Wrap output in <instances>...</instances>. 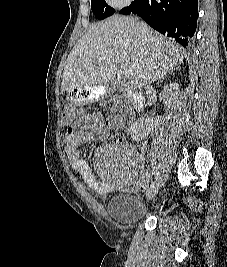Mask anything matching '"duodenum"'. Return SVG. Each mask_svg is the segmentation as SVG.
<instances>
[{"instance_id": "1", "label": "duodenum", "mask_w": 227, "mask_h": 267, "mask_svg": "<svg viewBox=\"0 0 227 267\" xmlns=\"http://www.w3.org/2000/svg\"><path fill=\"white\" fill-rule=\"evenodd\" d=\"M121 91L129 98L134 112L140 111L145 105L144 96L129 86L120 84Z\"/></svg>"}]
</instances>
